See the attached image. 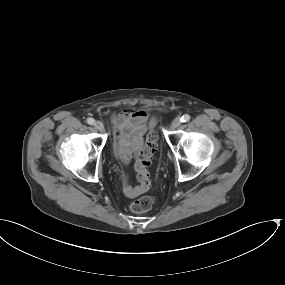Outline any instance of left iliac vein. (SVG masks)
Segmentation results:
<instances>
[{
	"label": "left iliac vein",
	"instance_id": "left-iliac-vein-1",
	"mask_svg": "<svg viewBox=\"0 0 285 285\" xmlns=\"http://www.w3.org/2000/svg\"><path fill=\"white\" fill-rule=\"evenodd\" d=\"M181 125V119L179 117L175 118L171 124L173 129L178 128Z\"/></svg>",
	"mask_w": 285,
	"mask_h": 285
}]
</instances>
